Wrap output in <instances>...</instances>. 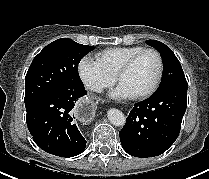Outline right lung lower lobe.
Masks as SVG:
<instances>
[{
    "label": "right lung lower lobe",
    "mask_w": 209,
    "mask_h": 179,
    "mask_svg": "<svg viewBox=\"0 0 209 179\" xmlns=\"http://www.w3.org/2000/svg\"><path fill=\"white\" fill-rule=\"evenodd\" d=\"M85 94L84 86L56 91L26 110L29 132L42 150L60 157H73L84 151L87 142L73 120L72 109Z\"/></svg>",
    "instance_id": "right-lung-lower-lobe-1"
}]
</instances>
